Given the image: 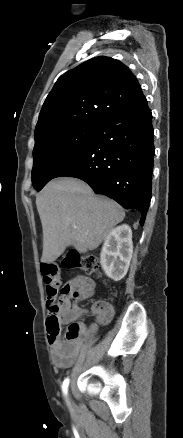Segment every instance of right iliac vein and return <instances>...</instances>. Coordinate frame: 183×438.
<instances>
[{"mask_svg":"<svg viewBox=\"0 0 183 438\" xmlns=\"http://www.w3.org/2000/svg\"><path fill=\"white\" fill-rule=\"evenodd\" d=\"M68 402H69V404L71 403V399H70V397L68 396Z\"/></svg>","mask_w":183,"mask_h":438,"instance_id":"1","label":"right iliac vein"}]
</instances>
